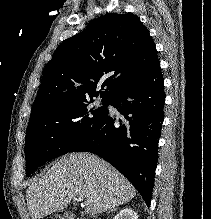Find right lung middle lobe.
Instances as JSON below:
<instances>
[{
    "instance_id": "1",
    "label": "right lung middle lobe",
    "mask_w": 211,
    "mask_h": 219,
    "mask_svg": "<svg viewBox=\"0 0 211 219\" xmlns=\"http://www.w3.org/2000/svg\"><path fill=\"white\" fill-rule=\"evenodd\" d=\"M81 99L29 120L26 130V175L48 160L66 154L89 134L107 112L106 107L91 109L93 98ZM108 100L102 103L108 106Z\"/></svg>"
}]
</instances>
